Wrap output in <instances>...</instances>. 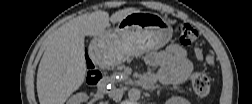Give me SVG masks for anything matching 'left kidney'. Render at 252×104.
I'll use <instances>...</instances> for the list:
<instances>
[{
  "mask_svg": "<svg viewBox=\"0 0 252 104\" xmlns=\"http://www.w3.org/2000/svg\"><path fill=\"white\" fill-rule=\"evenodd\" d=\"M170 104H187L188 101L182 97H172L168 100Z\"/></svg>",
  "mask_w": 252,
  "mask_h": 104,
  "instance_id": "left-kidney-1",
  "label": "left kidney"
}]
</instances>
